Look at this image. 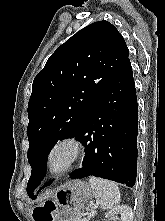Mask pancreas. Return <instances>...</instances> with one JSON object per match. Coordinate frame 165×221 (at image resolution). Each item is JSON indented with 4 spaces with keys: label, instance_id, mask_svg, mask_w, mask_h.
<instances>
[{
    "label": "pancreas",
    "instance_id": "pancreas-1",
    "mask_svg": "<svg viewBox=\"0 0 165 221\" xmlns=\"http://www.w3.org/2000/svg\"><path fill=\"white\" fill-rule=\"evenodd\" d=\"M83 212L79 213L78 215L75 216V218L73 219V221H84L83 217Z\"/></svg>",
    "mask_w": 165,
    "mask_h": 221
}]
</instances>
